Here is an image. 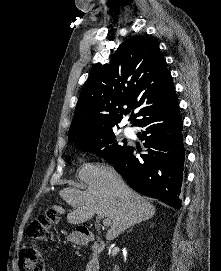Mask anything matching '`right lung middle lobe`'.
<instances>
[{"mask_svg": "<svg viewBox=\"0 0 221 271\" xmlns=\"http://www.w3.org/2000/svg\"><path fill=\"white\" fill-rule=\"evenodd\" d=\"M72 141H75V146L78 149L97 153L100 157L106 158L110 163H114L115 159L129 146L126 140H118L116 138L113 128L82 136Z\"/></svg>", "mask_w": 221, "mask_h": 271, "instance_id": "obj_1", "label": "right lung middle lobe"}]
</instances>
